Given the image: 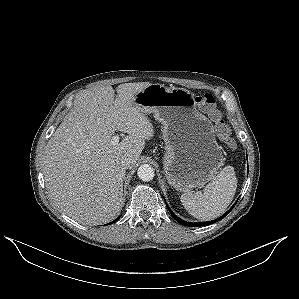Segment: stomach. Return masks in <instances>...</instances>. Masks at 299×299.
<instances>
[{"instance_id": "1", "label": "stomach", "mask_w": 299, "mask_h": 299, "mask_svg": "<svg viewBox=\"0 0 299 299\" xmlns=\"http://www.w3.org/2000/svg\"><path fill=\"white\" fill-rule=\"evenodd\" d=\"M134 102L163 125L168 183L186 191L209 182L224 158L211 121L196 109L194 94L185 88L151 84L134 95Z\"/></svg>"}]
</instances>
